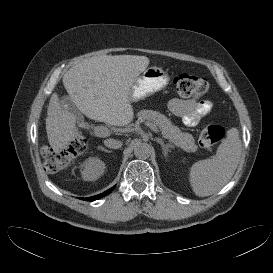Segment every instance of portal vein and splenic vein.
Segmentation results:
<instances>
[{
	"mask_svg": "<svg viewBox=\"0 0 273 273\" xmlns=\"http://www.w3.org/2000/svg\"><path fill=\"white\" fill-rule=\"evenodd\" d=\"M146 125H147L152 131H154L155 133L159 134V130H158V128L156 127V125H154V124H152V123H149V122H147ZM95 131H96V134L99 135V136H106V135L108 134V132H109V130H108L107 128L102 127V126L97 127Z\"/></svg>",
	"mask_w": 273,
	"mask_h": 273,
	"instance_id": "18ae733b",
	"label": "portal vein and splenic vein"
}]
</instances>
